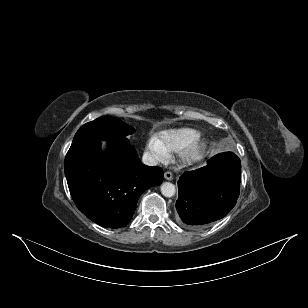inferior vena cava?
Listing matches in <instances>:
<instances>
[{"label":"inferior vena cava","instance_id":"obj_1","mask_svg":"<svg viewBox=\"0 0 308 308\" xmlns=\"http://www.w3.org/2000/svg\"><path fill=\"white\" fill-rule=\"evenodd\" d=\"M142 162L148 166H156L157 160L149 153H144L142 157Z\"/></svg>","mask_w":308,"mask_h":308}]
</instances>
